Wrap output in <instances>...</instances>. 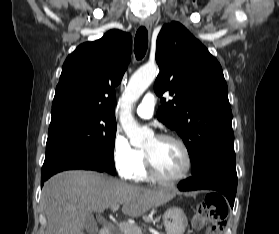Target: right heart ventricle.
Segmentation results:
<instances>
[{"label":"right heart ventricle","mask_w":279,"mask_h":234,"mask_svg":"<svg viewBox=\"0 0 279 234\" xmlns=\"http://www.w3.org/2000/svg\"><path fill=\"white\" fill-rule=\"evenodd\" d=\"M148 173L145 164L144 151L138 150V160L136 166L130 176V179L136 182H145L148 180Z\"/></svg>","instance_id":"obj_1"}]
</instances>
